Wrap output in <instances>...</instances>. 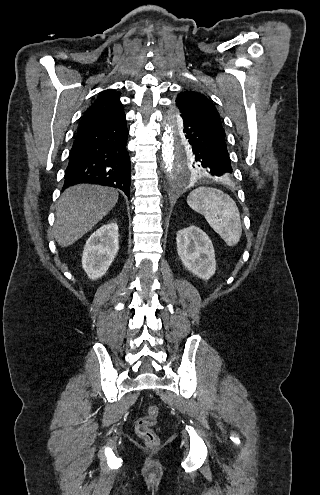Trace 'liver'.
<instances>
[{"mask_svg":"<svg viewBox=\"0 0 320 495\" xmlns=\"http://www.w3.org/2000/svg\"><path fill=\"white\" fill-rule=\"evenodd\" d=\"M119 198L117 190L79 184L66 189L56 207L54 237L61 247L72 245L92 229Z\"/></svg>","mask_w":320,"mask_h":495,"instance_id":"6515ba94","label":"liver"}]
</instances>
